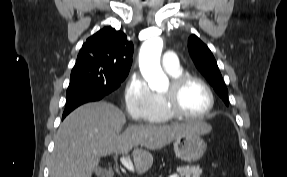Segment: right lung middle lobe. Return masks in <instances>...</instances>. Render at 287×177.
<instances>
[{
    "label": "right lung middle lobe",
    "instance_id": "1",
    "mask_svg": "<svg viewBox=\"0 0 287 177\" xmlns=\"http://www.w3.org/2000/svg\"><path fill=\"white\" fill-rule=\"evenodd\" d=\"M127 75L112 73L100 68L74 66L67 91L81 87H94L103 88L107 93H113Z\"/></svg>",
    "mask_w": 287,
    "mask_h": 177
}]
</instances>
